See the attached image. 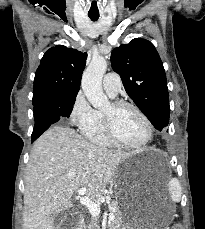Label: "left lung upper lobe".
Returning a JSON list of instances; mask_svg holds the SVG:
<instances>
[{"label":"left lung upper lobe","instance_id":"left-lung-upper-lobe-1","mask_svg":"<svg viewBox=\"0 0 205 229\" xmlns=\"http://www.w3.org/2000/svg\"><path fill=\"white\" fill-rule=\"evenodd\" d=\"M111 64L122 79L124 88L153 126H168L170 107L163 63L154 45L135 38L121 44L111 54Z\"/></svg>","mask_w":205,"mask_h":229}]
</instances>
